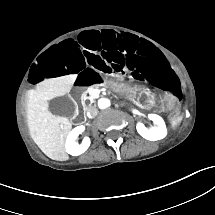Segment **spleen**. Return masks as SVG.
Instances as JSON below:
<instances>
[{
    "mask_svg": "<svg viewBox=\"0 0 215 215\" xmlns=\"http://www.w3.org/2000/svg\"><path fill=\"white\" fill-rule=\"evenodd\" d=\"M182 118H183L182 116H179V117L175 118V119L171 122V127H172L173 129H175V128L181 123Z\"/></svg>",
    "mask_w": 215,
    "mask_h": 215,
    "instance_id": "1",
    "label": "spleen"
}]
</instances>
